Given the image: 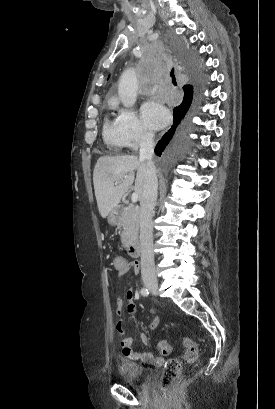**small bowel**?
Returning a JSON list of instances; mask_svg holds the SVG:
<instances>
[{
    "label": "small bowel",
    "mask_w": 275,
    "mask_h": 409,
    "mask_svg": "<svg viewBox=\"0 0 275 409\" xmlns=\"http://www.w3.org/2000/svg\"><path fill=\"white\" fill-rule=\"evenodd\" d=\"M124 260L123 262V266H124V271L123 273L120 274H124L130 270H132L133 272L137 273L139 270V264L135 261L130 262L124 258H122ZM119 277V276H118ZM135 297V290L133 287H130L127 291H126V298L128 299H134ZM127 310L129 312V314L131 315H135L136 314V307L133 303H130L127 307ZM124 311V301L123 298L118 297L116 299V313L118 316H121L122 313ZM159 317L158 316H154L152 317L149 322H148V328L149 329H156L159 325ZM116 326L117 327H122L123 326V321L122 320H117L116 321ZM120 330H122L120 328ZM122 334V333H121ZM140 339L143 343L146 342V335L145 334H141ZM134 344V339L132 337H125L122 338L120 340V345L122 350L124 351V354L127 355V358L129 360H137L139 359L142 363L144 364H151L154 366H161L163 364V359L161 357H154L151 353L148 352H142V353H138L137 351L133 350L132 345Z\"/></svg>",
    "instance_id": "small-bowel-1"
}]
</instances>
